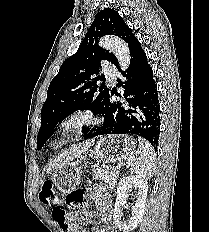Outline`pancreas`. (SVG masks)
Masks as SVG:
<instances>
[{"mask_svg":"<svg viewBox=\"0 0 209 232\" xmlns=\"http://www.w3.org/2000/svg\"><path fill=\"white\" fill-rule=\"evenodd\" d=\"M118 175L119 170L115 167L99 168L94 171L93 178L104 181V183L108 185L109 189L113 190L115 188Z\"/></svg>","mask_w":209,"mask_h":232,"instance_id":"1","label":"pancreas"}]
</instances>
